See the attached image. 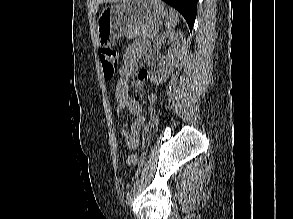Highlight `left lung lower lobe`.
I'll return each instance as SVG.
<instances>
[{"label": "left lung lower lobe", "mask_w": 293, "mask_h": 219, "mask_svg": "<svg viewBox=\"0 0 293 219\" xmlns=\"http://www.w3.org/2000/svg\"><path fill=\"white\" fill-rule=\"evenodd\" d=\"M177 9L186 19L190 30H192L197 14V0H163Z\"/></svg>", "instance_id": "0a47b994"}]
</instances>
